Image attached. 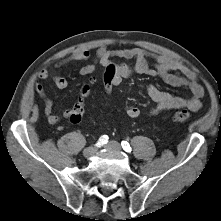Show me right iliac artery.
<instances>
[{
    "instance_id": "1",
    "label": "right iliac artery",
    "mask_w": 221,
    "mask_h": 221,
    "mask_svg": "<svg viewBox=\"0 0 221 221\" xmlns=\"http://www.w3.org/2000/svg\"><path fill=\"white\" fill-rule=\"evenodd\" d=\"M108 142V136L107 135H103L99 138V140L97 141L96 143V146L97 147H101L103 146L104 144H106Z\"/></svg>"
}]
</instances>
